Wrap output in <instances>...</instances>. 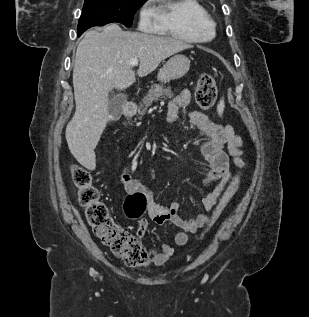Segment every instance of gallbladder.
Here are the masks:
<instances>
[{"label":"gallbladder","instance_id":"bac80fb5","mask_svg":"<svg viewBox=\"0 0 309 317\" xmlns=\"http://www.w3.org/2000/svg\"><path fill=\"white\" fill-rule=\"evenodd\" d=\"M127 103V96L116 94L110 97L108 103V114L112 121H117L122 115V110Z\"/></svg>","mask_w":309,"mask_h":317}]
</instances>
